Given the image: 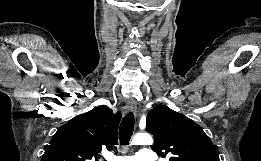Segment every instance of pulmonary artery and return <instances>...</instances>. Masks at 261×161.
Here are the masks:
<instances>
[{
  "mask_svg": "<svg viewBox=\"0 0 261 161\" xmlns=\"http://www.w3.org/2000/svg\"><path fill=\"white\" fill-rule=\"evenodd\" d=\"M149 154V149L143 148L139 150L134 156H110V159L111 161H152V158L149 156Z\"/></svg>",
  "mask_w": 261,
  "mask_h": 161,
  "instance_id": "1",
  "label": "pulmonary artery"
}]
</instances>
